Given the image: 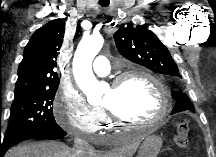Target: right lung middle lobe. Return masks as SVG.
I'll list each match as a JSON object with an SVG mask.
<instances>
[{
	"instance_id": "dd1d6c3e",
	"label": "right lung middle lobe",
	"mask_w": 216,
	"mask_h": 157,
	"mask_svg": "<svg viewBox=\"0 0 216 157\" xmlns=\"http://www.w3.org/2000/svg\"><path fill=\"white\" fill-rule=\"evenodd\" d=\"M57 88L32 90L15 96L2 143L31 131L59 127L52 109Z\"/></svg>"
}]
</instances>
